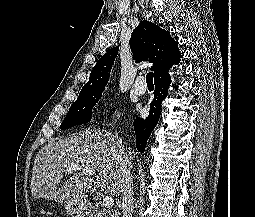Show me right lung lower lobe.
<instances>
[{"instance_id":"obj_1","label":"right lung lower lobe","mask_w":255,"mask_h":217,"mask_svg":"<svg viewBox=\"0 0 255 217\" xmlns=\"http://www.w3.org/2000/svg\"><path fill=\"white\" fill-rule=\"evenodd\" d=\"M170 82V76L167 71L154 78V98L150 104L149 115L146 119L136 118L134 120L136 148L139 152H144L147 140L149 139L151 132L158 123L160 114L162 112L161 102L167 96V89L170 85Z\"/></svg>"}]
</instances>
